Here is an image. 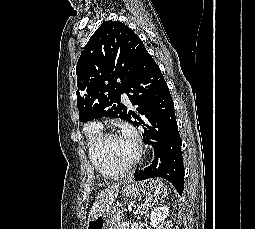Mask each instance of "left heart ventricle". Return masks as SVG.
Returning a JSON list of instances; mask_svg holds the SVG:
<instances>
[{"label": "left heart ventricle", "mask_w": 255, "mask_h": 229, "mask_svg": "<svg viewBox=\"0 0 255 229\" xmlns=\"http://www.w3.org/2000/svg\"><path fill=\"white\" fill-rule=\"evenodd\" d=\"M106 150L117 162H129L136 154L137 146L119 135L108 140Z\"/></svg>", "instance_id": "obj_1"}]
</instances>
